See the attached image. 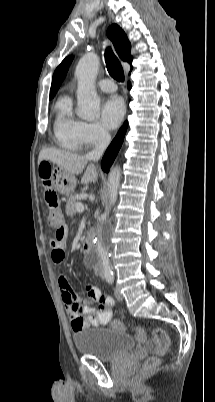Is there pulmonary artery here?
Wrapping results in <instances>:
<instances>
[{"mask_svg": "<svg viewBox=\"0 0 215 402\" xmlns=\"http://www.w3.org/2000/svg\"><path fill=\"white\" fill-rule=\"evenodd\" d=\"M97 84L105 92H114L117 89L115 83L110 79H101Z\"/></svg>", "mask_w": 215, "mask_h": 402, "instance_id": "1", "label": "pulmonary artery"}]
</instances>
